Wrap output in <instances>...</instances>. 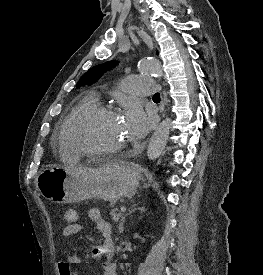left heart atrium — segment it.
I'll use <instances>...</instances> for the list:
<instances>
[{"label": "left heart atrium", "mask_w": 263, "mask_h": 275, "mask_svg": "<svg viewBox=\"0 0 263 275\" xmlns=\"http://www.w3.org/2000/svg\"><path fill=\"white\" fill-rule=\"evenodd\" d=\"M123 123L133 140L144 136L150 126V120L137 104L130 105L124 113Z\"/></svg>", "instance_id": "1"}]
</instances>
